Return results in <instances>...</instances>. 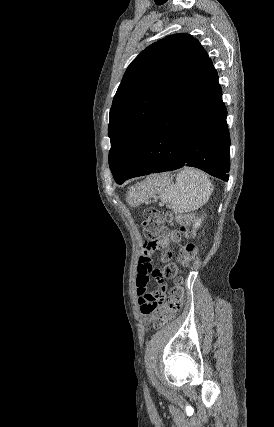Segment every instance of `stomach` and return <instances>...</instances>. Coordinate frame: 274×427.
<instances>
[{
    "label": "stomach",
    "mask_w": 274,
    "mask_h": 427,
    "mask_svg": "<svg viewBox=\"0 0 274 427\" xmlns=\"http://www.w3.org/2000/svg\"><path fill=\"white\" fill-rule=\"evenodd\" d=\"M158 180H163V182H165V184H171L172 180L171 178H169V176H157ZM150 180H156V178H150ZM134 192V190H133ZM137 192H142V194H145V196H143L142 200H140L139 204H141V202H144V200H147L148 196H151L150 192L151 190H149V192H145L144 188H140V190H137ZM129 202L130 204H133V198H129Z\"/></svg>",
    "instance_id": "0dacf381"
}]
</instances>
